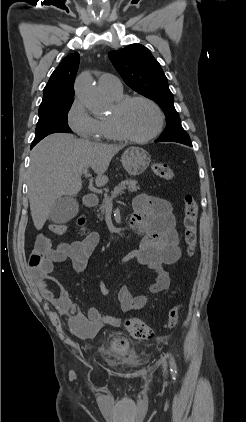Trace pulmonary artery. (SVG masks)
I'll return each mask as SVG.
<instances>
[{
	"label": "pulmonary artery",
	"mask_w": 246,
	"mask_h": 422,
	"mask_svg": "<svg viewBox=\"0 0 246 422\" xmlns=\"http://www.w3.org/2000/svg\"><path fill=\"white\" fill-rule=\"evenodd\" d=\"M99 88L106 94L122 93V84L120 80L109 73L102 74L98 79Z\"/></svg>",
	"instance_id": "1"
}]
</instances>
